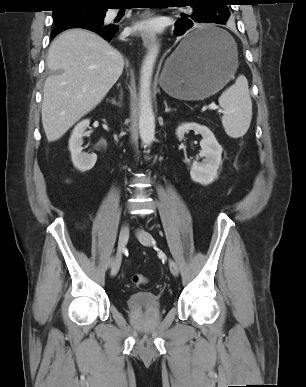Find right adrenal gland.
<instances>
[{
    "label": "right adrenal gland",
    "mask_w": 306,
    "mask_h": 387,
    "mask_svg": "<svg viewBox=\"0 0 306 387\" xmlns=\"http://www.w3.org/2000/svg\"><path fill=\"white\" fill-rule=\"evenodd\" d=\"M120 86V84H118V87ZM122 96H123V93L122 91H120V95H119V99L122 100ZM110 102L113 104V105H116V106H120V101L117 102L115 98H112L110 100Z\"/></svg>",
    "instance_id": "2a0ac1e0"
}]
</instances>
